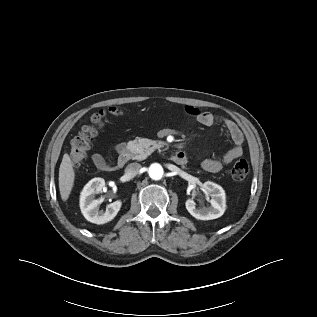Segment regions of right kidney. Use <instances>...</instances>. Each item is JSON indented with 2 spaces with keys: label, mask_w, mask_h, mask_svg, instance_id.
<instances>
[{
  "label": "right kidney",
  "mask_w": 317,
  "mask_h": 317,
  "mask_svg": "<svg viewBox=\"0 0 317 317\" xmlns=\"http://www.w3.org/2000/svg\"><path fill=\"white\" fill-rule=\"evenodd\" d=\"M105 185L103 178L90 180L80 195V209L84 217L95 224H104L111 221L119 212L122 202L117 200L108 205L106 211L99 210L100 200L94 199L95 194L102 191Z\"/></svg>",
  "instance_id": "1"
}]
</instances>
